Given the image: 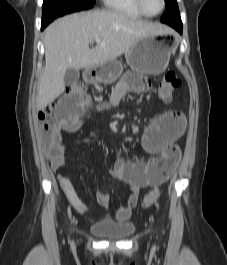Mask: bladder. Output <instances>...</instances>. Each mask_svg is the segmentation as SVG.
I'll list each match as a JSON object with an SVG mask.
<instances>
[{"label": "bladder", "instance_id": "bladder-1", "mask_svg": "<svg viewBox=\"0 0 227 265\" xmlns=\"http://www.w3.org/2000/svg\"><path fill=\"white\" fill-rule=\"evenodd\" d=\"M90 230L97 237L119 240L129 237L133 233L134 228L130 224L98 222L93 224Z\"/></svg>", "mask_w": 227, "mask_h": 265}]
</instances>
